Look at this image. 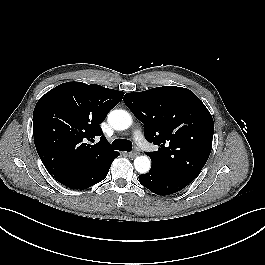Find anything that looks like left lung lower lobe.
I'll return each mask as SVG.
<instances>
[{
	"label": "left lung lower lobe",
	"mask_w": 265,
	"mask_h": 265,
	"mask_svg": "<svg viewBox=\"0 0 265 265\" xmlns=\"http://www.w3.org/2000/svg\"><path fill=\"white\" fill-rule=\"evenodd\" d=\"M139 181L144 187L157 195H169L190 184L153 166H151L148 173L139 176Z\"/></svg>",
	"instance_id": "0a47b994"
}]
</instances>
